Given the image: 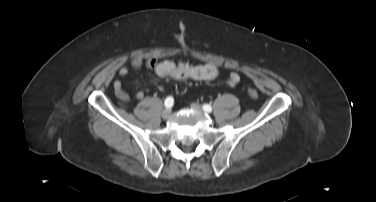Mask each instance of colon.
<instances>
[{"instance_id": "5ec220e1", "label": "colon", "mask_w": 376, "mask_h": 202, "mask_svg": "<svg viewBox=\"0 0 376 202\" xmlns=\"http://www.w3.org/2000/svg\"><path fill=\"white\" fill-rule=\"evenodd\" d=\"M248 94L251 98H257L258 97V92L255 89L250 88L248 90Z\"/></svg>"}]
</instances>
